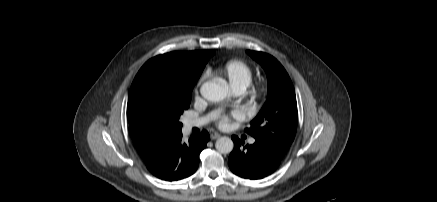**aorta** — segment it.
I'll return each instance as SVG.
<instances>
[{
	"mask_svg": "<svg viewBox=\"0 0 437 202\" xmlns=\"http://www.w3.org/2000/svg\"><path fill=\"white\" fill-rule=\"evenodd\" d=\"M200 93L206 100L218 102L228 95V86L223 80L220 83L208 81L202 84ZM215 147L220 153L228 154L233 150L234 143L229 137H221L217 139Z\"/></svg>",
	"mask_w": 437,
	"mask_h": 202,
	"instance_id": "762f6f07",
	"label": "aorta"
}]
</instances>
